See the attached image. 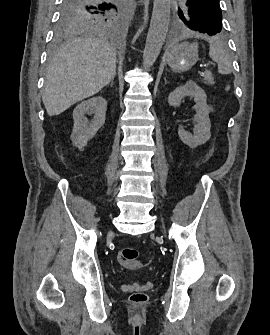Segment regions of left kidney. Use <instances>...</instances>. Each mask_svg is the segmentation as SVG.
<instances>
[{
	"mask_svg": "<svg viewBox=\"0 0 270 335\" xmlns=\"http://www.w3.org/2000/svg\"><path fill=\"white\" fill-rule=\"evenodd\" d=\"M185 96H192V98H194V102H196V106H194V110L196 112L194 122H197V124L194 126V134L185 132L183 128H179L178 134L183 144H187L189 148H197V146L206 144L209 138H211L209 110L206 104L207 96L204 90L199 88L193 80H188L185 86H179V88H176L174 92H170L168 98L169 106H175V108H178L181 104V100H183Z\"/></svg>",
	"mask_w": 270,
	"mask_h": 335,
	"instance_id": "obj_1",
	"label": "left kidney"
}]
</instances>
